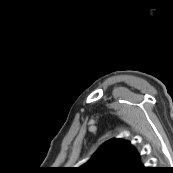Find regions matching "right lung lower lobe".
<instances>
[{"label": "right lung lower lobe", "mask_w": 173, "mask_h": 173, "mask_svg": "<svg viewBox=\"0 0 173 173\" xmlns=\"http://www.w3.org/2000/svg\"><path fill=\"white\" fill-rule=\"evenodd\" d=\"M149 169L145 168L142 166L141 163L137 164L136 166H134L130 171H128L127 173H149Z\"/></svg>", "instance_id": "98d812e1"}]
</instances>
